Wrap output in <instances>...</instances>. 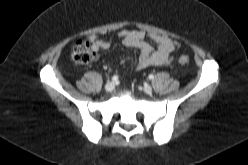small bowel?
<instances>
[{"label": "small bowel", "instance_id": "1", "mask_svg": "<svg viewBox=\"0 0 248 165\" xmlns=\"http://www.w3.org/2000/svg\"><path fill=\"white\" fill-rule=\"evenodd\" d=\"M117 37L126 47L140 50V57L135 63L136 70L168 65L174 53L179 49V43L176 40L142 30H120ZM87 40L91 42L95 50H107L111 47L110 40L95 34L88 35ZM148 40L152 41L154 46Z\"/></svg>", "mask_w": 248, "mask_h": 165}]
</instances>
